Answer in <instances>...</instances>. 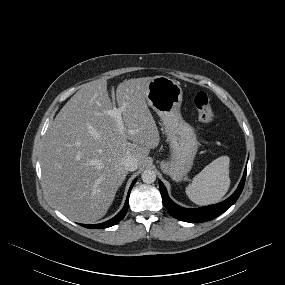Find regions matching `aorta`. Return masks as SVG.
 <instances>
[{
	"label": "aorta",
	"mask_w": 285,
	"mask_h": 285,
	"mask_svg": "<svg viewBox=\"0 0 285 285\" xmlns=\"http://www.w3.org/2000/svg\"><path fill=\"white\" fill-rule=\"evenodd\" d=\"M141 179L144 183L151 184L156 180V173L153 170L146 169L141 174Z\"/></svg>",
	"instance_id": "1"
}]
</instances>
